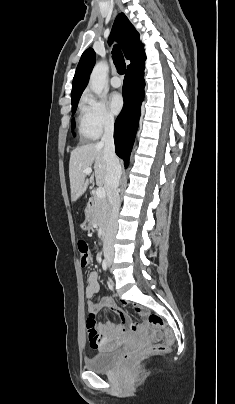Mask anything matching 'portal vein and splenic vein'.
I'll list each match as a JSON object with an SVG mask.
<instances>
[{
    "mask_svg": "<svg viewBox=\"0 0 235 404\" xmlns=\"http://www.w3.org/2000/svg\"><path fill=\"white\" fill-rule=\"evenodd\" d=\"M84 172H85L87 175H88V174H91V173H92V169H91V168H86V169L84 170ZM96 196H97L98 198H104V197L106 196L105 189L102 188V187L97 188V189H96Z\"/></svg>",
    "mask_w": 235,
    "mask_h": 404,
    "instance_id": "1",
    "label": "portal vein and splenic vein"
}]
</instances>
